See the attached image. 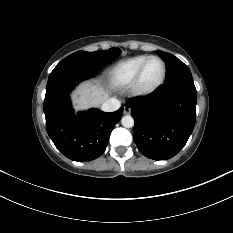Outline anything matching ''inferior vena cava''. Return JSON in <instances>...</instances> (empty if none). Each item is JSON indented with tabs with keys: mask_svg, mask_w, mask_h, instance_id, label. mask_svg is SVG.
<instances>
[{
	"mask_svg": "<svg viewBox=\"0 0 233 233\" xmlns=\"http://www.w3.org/2000/svg\"><path fill=\"white\" fill-rule=\"evenodd\" d=\"M120 106L121 103L119 100L115 98H109L102 104L101 110L104 112H114L118 110Z\"/></svg>",
	"mask_w": 233,
	"mask_h": 233,
	"instance_id": "obj_1",
	"label": "inferior vena cava"
}]
</instances>
